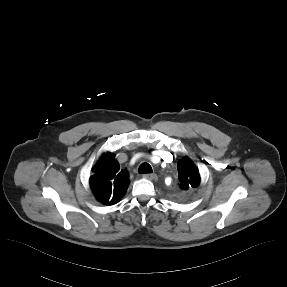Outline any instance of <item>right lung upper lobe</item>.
<instances>
[{
    "instance_id": "obj_1",
    "label": "right lung upper lobe",
    "mask_w": 287,
    "mask_h": 287,
    "mask_svg": "<svg viewBox=\"0 0 287 287\" xmlns=\"http://www.w3.org/2000/svg\"><path fill=\"white\" fill-rule=\"evenodd\" d=\"M93 172L89 182L96 199L104 205L119 202L126 193L129 177L125 170H120L113 153H104Z\"/></svg>"
}]
</instances>
